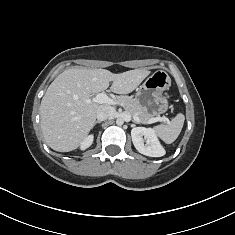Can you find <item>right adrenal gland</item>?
Segmentation results:
<instances>
[{
  "mask_svg": "<svg viewBox=\"0 0 235 235\" xmlns=\"http://www.w3.org/2000/svg\"><path fill=\"white\" fill-rule=\"evenodd\" d=\"M97 123H101V121H99V120H98V121H96L94 125H96Z\"/></svg>",
  "mask_w": 235,
  "mask_h": 235,
  "instance_id": "1",
  "label": "right adrenal gland"
}]
</instances>
